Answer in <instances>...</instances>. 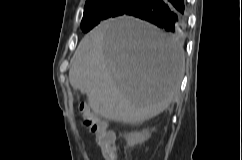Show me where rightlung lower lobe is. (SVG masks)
Returning a JSON list of instances; mask_svg holds the SVG:
<instances>
[{
	"mask_svg": "<svg viewBox=\"0 0 242 160\" xmlns=\"http://www.w3.org/2000/svg\"><path fill=\"white\" fill-rule=\"evenodd\" d=\"M125 15L140 18L178 36H182L186 28L184 0H142Z\"/></svg>",
	"mask_w": 242,
	"mask_h": 160,
	"instance_id": "obj_1",
	"label": "right lung lower lobe"
}]
</instances>
